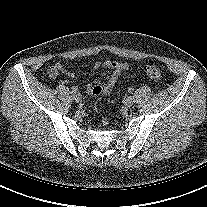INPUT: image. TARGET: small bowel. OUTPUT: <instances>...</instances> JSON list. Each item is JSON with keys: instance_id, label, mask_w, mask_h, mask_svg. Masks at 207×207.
Instances as JSON below:
<instances>
[{"instance_id": "c3829d8e", "label": "small bowel", "mask_w": 207, "mask_h": 207, "mask_svg": "<svg viewBox=\"0 0 207 207\" xmlns=\"http://www.w3.org/2000/svg\"><path fill=\"white\" fill-rule=\"evenodd\" d=\"M94 69H102L101 77L86 85L85 90L92 96H100L109 94L119 77L129 70V64L126 62H119L114 60H106L104 62L96 61L93 64ZM60 73L65 74L67 77L73 79L75 74L66 70L61 64L56 63L48 69V75L52 78L57 77ZM77 87V86H73ZM78 89V88H77Z\"/></svg>"}]
</instances>
